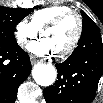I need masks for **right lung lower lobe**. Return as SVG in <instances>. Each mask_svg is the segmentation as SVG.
I'll return each instance as SVG.
<instances>
[{
	"label": "right lung lower lobe",
	"instance_id": "obj_1",
	"mask_svg": "<svg viewBox=\"0 0 103 103\" xmlns=\"http://www.w3.org/2000/svg\"><path fill=\"white\" fill-rule=\"evenodd\" d=\"M31 71L30 58L17 43H0V103H13Z\"/></svg>",
	"mask_w": 103,
	"mask_h": 103
}]
</instances>
